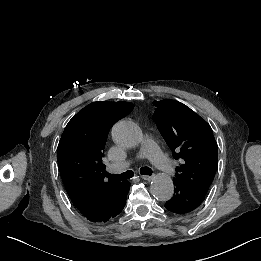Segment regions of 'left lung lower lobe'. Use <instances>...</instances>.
<instances>
[{
	"mask_svg": "<svg viewBox=\"0 0 261 261\" xmlns=\"http://www.w3.org/2000/svg\"><path fill=\"white\" fill-rule=\"evenodd\" d=\"M174 196L165 203V208L173 213L184 214L193 211L204 201L206 193L190 185L176 182Z\"/></svg>",
	"mask_w": 261,
	"mask_h": 261,
	"instance_id": "left-lung-lower-lobe-1",
	"label": "left lung lower lobe"
}]
</instances>
